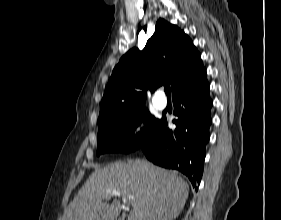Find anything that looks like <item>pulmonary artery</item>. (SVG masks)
I'll list each match as a JSON object with an SVG mask.
<instances>
[{
    "mask_svg": "<svg viewBox=\"0 0 281 220\" xmlns=\"http://www.w3.org/2000/svg\"><path fill=\"white\" fill-rule=\"evenodd\" d=\"M153 103L158 109H164L167 106V100L162 90L155 93Z\"/></svg>",
    "mask_w": 281,
    "mask_h": 220,
    "instance_id": "pulmonary-artery-1",
    "label": "pulmonary artery"
}]
</instances>
